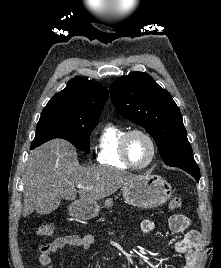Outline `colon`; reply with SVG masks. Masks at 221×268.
<instances>
[{
  "instance_id": "obj_1",
  "label": "colon",
  "mask_w": 221,
  "mask_h": 268,
  "mask_svg": "<svg viewBox=\"0 0 221 268\" xmlns=\"http://www.w3.org/2000/svg\"><path fill=\"white\" fill-rule=\"evenodd\" d=\"M182 205V199L180 197H173L171 198L169 202V208L170 209H178ZM55 230V225L51 222H46L41 224L37 230L36 234L38 236H49L51 235Z\"/></svg>"
}]
</instances>
